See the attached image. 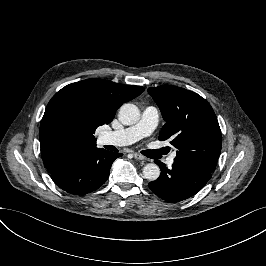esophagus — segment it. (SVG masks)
I'll list each match as a JSON object with an SVG mask.
<instances>
[{"mask_svg":"<svg viewBox=\"0 0 266 266\" xmlns=\"http://www.w3.org/2000/svg\"><path fill=\"white\" fill-rule=\"evenodd\" d=\"M134 158L137 159V160H145L146 158L139 154V153H134Z\"/></svg>","mask_w":266,"mask_h":266,"instance_id":"1","label":"esophagus"}]
</instances>
